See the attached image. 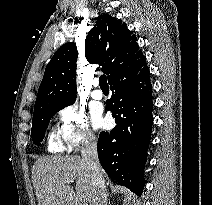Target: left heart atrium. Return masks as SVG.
I'll return each instance as SVG.
<instances>
[{"label":"left heart atrium","instance_id":"39dd6f15","mask_svg":"<svg viewBox=\"0 0 212 205\" xmlns=\"http://www.w3.org/2000/svg\"><path fill=\"white\" fill-rule=\"evenodd\" d=\"M92 119L95 127H104L106 124V121L102 118L100 111H94Z\"/></svg>","mask_w":212,"mask_h":205}]
</instances>
